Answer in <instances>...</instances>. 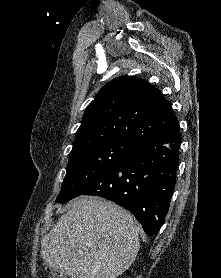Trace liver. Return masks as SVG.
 <instances>
[{"mask_svg": "<svg viewBox=\"0 0 221 278\" xmlns=\"http://www.w3.org/2000/svg\"><path fill=\"white\" fill-rule=\"evenodd\" d=\"M139 228L133 216L98 197L74 199L41 242V256L70 278H116L134 262Z\"/></svg>", "mask_w": 221, "mask_h": 278, "instance_id": "liver-1", "label": "liver"}]
</instances>
